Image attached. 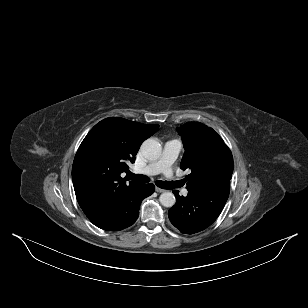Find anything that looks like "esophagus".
Masks as SVG:
<instances>
[{"instance_id":"obj_1","label":"esophagus","mask_w":308,"mask_h":308,"mask_svg":"<svg viewBox=\"0 0 308 308\" xmlns=\"http://www.w3.org/2000/svg\"><path fill=\"white\" fill-rule=\"evenodd\" d=\"M156 192L158 193H162V192H165L166 190L162 189V188H159V187H156L155 188Z\"/></svg>"}]
</instances>
